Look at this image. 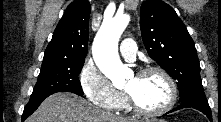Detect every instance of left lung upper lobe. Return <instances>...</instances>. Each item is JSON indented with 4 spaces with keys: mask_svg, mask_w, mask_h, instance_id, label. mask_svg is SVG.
I'll list each match as a JSON object with an SVG mask.
<instances>
[{
    "mask_svg": "<svg viewBox=\"0 0 221 122\" xmlns=\"http://www.w3.org/2000/svg\"><path fill=\"white\" fill-rule=\"evenodd\" d=\"M140 28L150 57L177 81L180 101L206 99L194 42L175 10L160 0L144 1Z\"/></svg>",
    "mask_w": 221,
    "mask_h": 122,
    "instance_id": "left-lung-upper-lobe-1",
    "label": "left lung upper lobe"
}]
</instances>
